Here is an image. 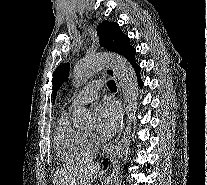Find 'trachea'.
Listing matches in <instances>:
<instances>
[{
    "label": "trachea",
    "mask_w": 207,
    "mask_h": 185,
    "mask_svg": "<svg viewBox=\"0 0 207 185\" xmlns=\"http://www.w3.org/2000/svg\"><path fill=\"white\" fill-rule=\"evenodd\" d=\"M108 87L110 88V90H117V87H116V84L113 80H110L108 83H107Z\"/></svg>",
    "instance_id": "obj_1"
}]
</instances>
